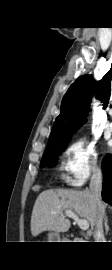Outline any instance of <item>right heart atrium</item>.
<instances>
[{
  "instance_id": "right-heart-atrium-1",
  "label": "right heart atrium",
  "mask_w": 112,
  "mask_h": 270,
  "mask_svg": "<svg viewBox=\"0 0 112 270\" xmlns=\"http://www.w3.org/2000/svg\"><path fill=\"white\" fill-rule=\"evenodd\" d=\"M61 171L64 181L81 187L93 175L101 172L96 145L86 139L72 141L63 151Z\"/></svg>"
}]
</instances>
